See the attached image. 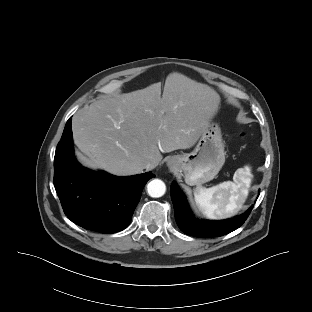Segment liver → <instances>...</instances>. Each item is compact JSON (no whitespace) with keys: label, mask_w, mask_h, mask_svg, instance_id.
I'll list each match as a JSON object with an SVG mask.
<instances>
[{"label":"liver","mask_w":312,"mask_h":312,"mask_svg":"<svg viewBox=\"0 0 312 312\" xmlns=\"http://www.w3.org/2000/svg\"><path fill=\"white\" fill-rule=\"evenodd\" d=\"M220 97L211 87L179 73L144 89L101 98L72 119L79 162L117 176L143 172L162 153L192 147L218 112Z\"/></svg>","instance_id":"liver-1"}]
</instances>
